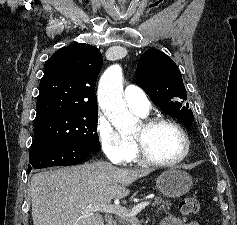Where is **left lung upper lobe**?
I'll list each match as a JSON object with an SVG mask.
<instances>
[{
	"mask_svg": "<svg viewBox=\"0 0 237 225\" xmlns=\"http://www.w3.org/2000/svg\"><path fill=\"white\" fill-rule=\"evenodd\" d=\"M136 81L165 113L185 126L193 123L181 72L169 56L155 49L144 52L137 64Z\"/></svg>",
	"mask_w": 237,
	"mask_h": 225,
	"instance_id": "obj_1",
	"label": "left lung upper lobe"
}]
</instances>
